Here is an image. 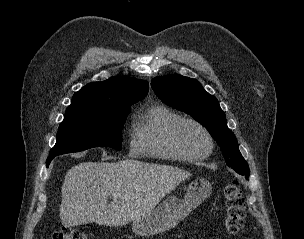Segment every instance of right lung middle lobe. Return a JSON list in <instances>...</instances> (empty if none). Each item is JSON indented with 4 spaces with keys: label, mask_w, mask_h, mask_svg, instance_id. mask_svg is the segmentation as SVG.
<instances>
[{
    "label": "right lung middle lobe",
    "mask_w": 304,
    "mask_h": 239,
    "mask_svg": "<svg viewBox=\"0 0 304 239\" xmlns=\"http://www.w3.org/2000/svg\"><path fill=\"white\" fill-rule=\"evenodd\" d=\"M129 105L118 110L66 113L59 126L56 144L49 156L79 152L93 147L122 149L121 128Z\"/></svg>",
    "instance_id": "dd1d6c3e"
}]
</instances>
